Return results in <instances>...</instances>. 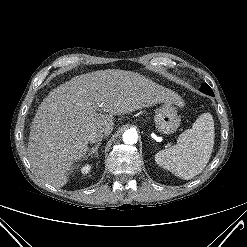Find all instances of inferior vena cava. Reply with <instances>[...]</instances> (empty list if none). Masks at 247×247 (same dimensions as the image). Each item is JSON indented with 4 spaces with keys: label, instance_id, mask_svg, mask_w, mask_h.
<instances>
[{
    "label": "inferior vena cava",
    "instance_id": "1",
    "mask_svg": "<svg viewBox=\"0 0 247 247\" xmlns=\"http://www.w3.org/2000/svg\"><path fill=\"white\" fill-rule=\"evenodd\" d=\"M105 135L103 130H95L88 135V141L92 143L99 142Z\"/></svg>",
    "mask_w": 247,
    "mask_h": 247
}]
</instances>
